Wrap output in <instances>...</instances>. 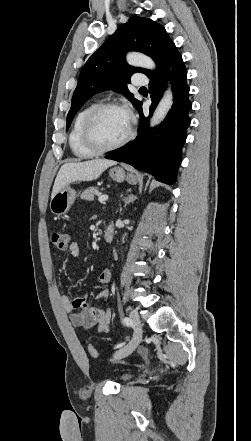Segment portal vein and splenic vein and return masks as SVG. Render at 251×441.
Wrapping results in <instances>:
<instances>
[{
  "mask_svg": "<svg viewBox=\"0 0 251 441\" xmlns=\"http://www.w3.org/2000/svg\"><path fill=\"white\" fill-rule=\"evenodd\" d=\"M98 200L100 203H104L105 201L108 200V196L107 195H100Z\"/></svg>",
  "mask_w": 251,
  "mask_h": 441,
  "instance_id": "portal-vein-and-splenic-vein-1",
  "label": "portal vein and splenic vein"
}]
</instances>
